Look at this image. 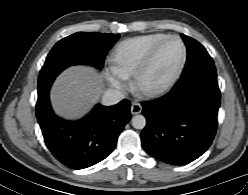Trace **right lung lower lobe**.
I'll return each mask as SVG.
<instances>
[{"mask_svg": "<svg viewBox=\"0 0 248 195\" xmlns=\"http://www.w3.org/2000/svg\"><path fill=\"white\" fill-rule=\"evenodd\" d=\"M54 81L38 84L36 115L45 143L62 164L83 169L105 159L130 120V102L113 106L97 105L85 118L69 122L57 117L50 105L49 90Z\"/></svg>", "mask_w": 248, "mask_h": 195, "instance_id": "1", "label": "right lung lower lobe"}]
</instances>
